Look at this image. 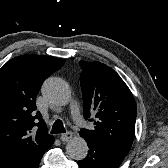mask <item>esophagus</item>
<instances>
[{"mask_svg":"<svg viewBox=\"0 0 168 168\" xmlns=\"http://www.w3.org/2000/svg\"><path fill=\"white\" fill-rule=\"evenodd\" d=\"M72 136H73V133L68 131V132L62 134L60 138L63 142H66V141L70 140L72 138Z\"/></svg>","mask_w":168,"mask_h":168,"instance_id":"obj_1","label":"esophagus"}]
</instances>
